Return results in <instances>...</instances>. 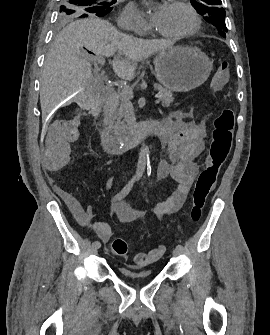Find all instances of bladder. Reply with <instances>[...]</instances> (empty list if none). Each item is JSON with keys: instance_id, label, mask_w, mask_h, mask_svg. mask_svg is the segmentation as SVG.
<instances>
[{"instance_id": "1", "label": "bladder", "mask_w": 270, "mask_h": 335, "mask_svg": "<svg viewBox=\"0 0 270 335\" xmlns=\"http://www.w3.org/2000/svg\"><path fill=\"white\" fill-rule=\"evenodd\" d=\"M121 274H123L127 280L132 281V282H138L140 280L150 279L153 277V271H148L144 273H134V272L125 270L121 272Z\"/></svg>"}]
</instances>
